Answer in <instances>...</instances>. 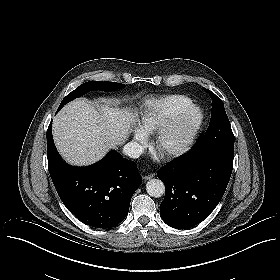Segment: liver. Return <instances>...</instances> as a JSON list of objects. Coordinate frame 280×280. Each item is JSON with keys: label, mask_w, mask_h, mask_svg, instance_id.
I'll list each match as a JSON object with an SVG mask.
<instances>
[{"label": "liver", "mask_w": 280, "mask_h": 280, "mask_svg": "<svg viewBox=\"0 0 280 280\" xmlns=\"http://www.w3.org/2000/svg\"><path fill=\"white\" fill-rule=\"evenodd\" d=\"M133 122L134 115L127 110L120 111L108 103L96 108L85 99H77L53 119V138L66 162L87 166L122 144Z\"/></svg>", "instance_id": "liver-1"}]
</instances>
